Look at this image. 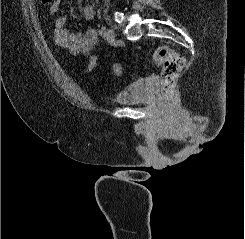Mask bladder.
Wrapping results in <instances>:
<instances>
[{
	"label": "bladder",
	"mask_w": 245,
	"mask_h": 239,
	"mask_svg": "<svg viewBox=\"0 0 245 239\" xmlns=\"http://www.w3.org/2000/svg\"><path fill=\"white\" fill-rule=\"evenodd\" d=\"M154 87L152 78L136 80L119 91L116 101L124 105L136 104L151 95Z\"/></svg>",
	"instance_id": "obj_1"
}]
</instances>
